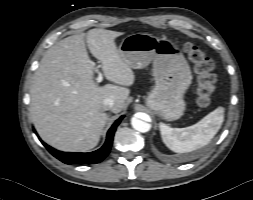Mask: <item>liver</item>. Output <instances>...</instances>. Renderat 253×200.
<instances>
[{
    "instance_id": "6515ba94",
    "label": "liver",
    "mask_w": 253,
    "mask_h": 200,
    "mask_svg": "<svg viewBox=\"0 0 253 200\" xmlns=\"http://www.w3.org/2000/svg\"><path fill=\"white\" fill-rule=\"evenodd\" d=\"M122 34L91 29L86 40L83 34L72 35L45 52L33 76L30 116L47 144L66 152L88 151L98 144L106 124L103 100H114L113 113L123 110L135 75L114 42ZM86 45L106 79L118 85L94 81Z\"/></svg>"
}]
</instances>
